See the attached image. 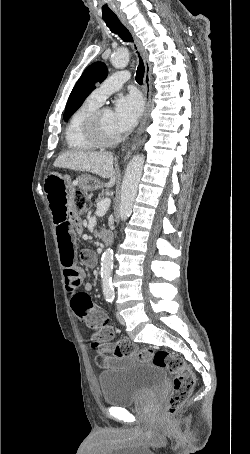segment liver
Instances as JSON below:
<instances>
[{"instance_id": "obj_1", "label": "liver", "mask_w": 250, "mask_h": 454, "mask_svg": "<svg viewBox=\"0 0 250 454\" xmlns=\"http://www.w3.org/2000/svg\"><path fill=\"white\" fill-rule=\"evenodd\" d=\"M113 160V155L109 152L68 151L59 155L53 166L86 171L104 179L109 178L106 187L111 188L117 179V169H114Z\"/></svg>"}]
</instances>
